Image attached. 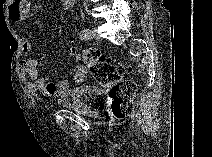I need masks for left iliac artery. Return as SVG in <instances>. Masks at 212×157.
Here are the masks:
<instances>
[{"label":"left iliac artery","instance_id":"obj_1","mask_svg":"<svg viewBox=\"0 0 212 157\" xmlns=\"http://www.w3.org/2000/svg\"><path fill=\"white\" fill-rule=\"evenodd\" d=\"M80 39L81 40H87V39H90V38H92L91 37V30H89V29H84V30H82L81 32H80Z\"/></svg>","mask_w":212,"mask_h":157}]
</instances>
